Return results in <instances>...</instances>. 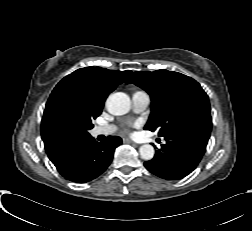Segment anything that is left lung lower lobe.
I'll list each match as a JSON object with an SVG mask.
<instances>
[{
  "label": "left lung lower lobe",
  "mask_w": 252,
  "mask_h": 231,
  "mask_svg": "<svg viewBox=\"0 0 252 231\" xmlns=\"http://www.w3.org/2000/svg\"><path fill=\"white\" fill-rule=\"evenodd\" d=\"M209 130L188 127L174 130L165 137L166 144L154 158L144 163L153 174L167 180L181 179L190 174L206 151Z\"/></svg>",
  "instance_id": "obj_1"
}]
</instances>
